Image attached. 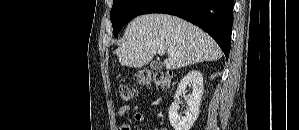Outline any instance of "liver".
<instances>
[{
  "label": "liver",
  "instance_id": "1",
  "mask_svg": "<svg viewBox=\"0 0 299 130\" xmlns=\"http://www.w3.org/2000/svg\"><path fill=\"white\" fill-rule=\"evenodd\" d=\"M159 49L174 53L163 62L168 70L222 57L221 49L207 33L168 14H147L134 18L128 24L124 41L115 53L121 66L140 68L148 64Z\"/></svg>",
  "mask_w": 299,
  "mask_h": 130
}]
</instances>
